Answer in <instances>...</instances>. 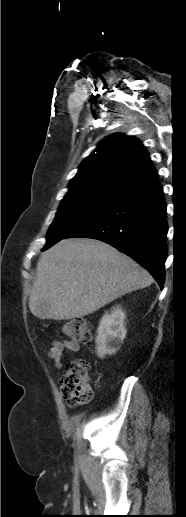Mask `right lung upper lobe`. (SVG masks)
I'll use <instances>...</instances> for the list:
<instances>
[{
    "mask_svg": "<svg viewBox=\"0 0 186 517\" xmlns=\"http://www.w3.org/2000/svg\"><path fill=\"white\" fill-rule=\"evenodd\" d=\"M158 181L149 154L139 140L113 134L81 163L65 197L98 196L120 199Z\"/></svg>",
    "mask_w": 186,
    "mask_h": 517,
    "instance_id": "cb5924a9",
    "label": "right lung upper lobe"
}]
</instances>
